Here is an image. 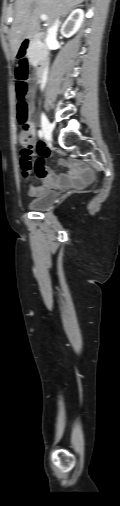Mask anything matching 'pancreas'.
Wrapping results in <instances>:
<instances>
[{
  "mask_svg": "<svg viewBox=\"0 0 120 506\" xmlns=\"http://www.w3.org/2000/svg\"><path fill=\"white\" fill-rule=\"evenodd\" d=\"M45 48L42 42H33L27 52L31 62H37L44 54Z\"/></svg>",
  "mask_w": 120,
  "mask_h": 506,
  "instance_id": "cf45deb5",
  "label": "pancreas"
}]
</instances>
